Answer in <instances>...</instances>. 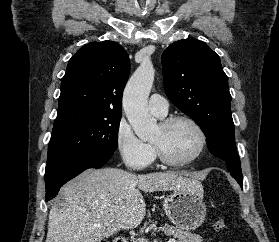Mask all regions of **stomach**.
Returning a JSON list of instances; mask_svg holds the SVG:
<instances>
[{"label":"stomach","instance_id":"stomach-1","mask_svg":"<svg viewBox=\"0 0 279 242\" xmlns=\"http://www.w3.org/2000/svg\"><path fill=\"white\" fill-rule=\"evenodd\" d=\"M163 208L176 227L186 231L197 229L204 222L207 211L201 185L198 189L175 190L166 195Z\"/></svg>","mask_w":279,"mask_h":242}]
</instances>
